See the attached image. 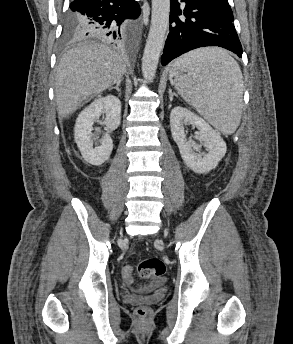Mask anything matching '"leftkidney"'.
Returning a JSON list of instances; mask_svg holds the SVG:
<instances>
[{
  "label": "left kidney",
  "mask_w": 293,
  "mask_h": 344,
  "mask_svg": "<svg viewBox=\"0 0 293 344\" xmlns=\"http://www.w3.org/2000/svg\"><path fill=\"white\" fill-rule=\"evenodd\" d=\"M193 125L199 129V139L208 153L202 158L195 153L199 146L186 140L185 126ZM171 134L178 145L185 164L194 172L206 174L216 168L224 157L227 147L223 138L204 119L183 107H175L170 114Z\"/></svg>",
  "instance_id": "left-kidney-1"
}]
</instances>
